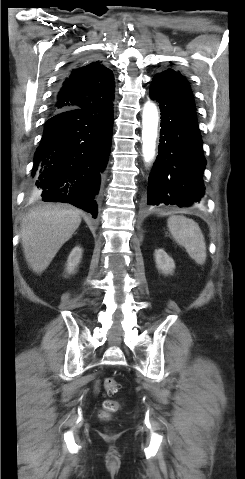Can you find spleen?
<instances>
[{"instance_id": "spleen-1", "label": "spleen", "mask_w": 245, "mask_h": 479, "mask_svg": "<svg viewBox=\"0 0 245 479\" xmlns=\"http://www.w3.org/2000/svg\"><path fill=\"white\" fill-rule=\"evenodd\" d=\"M167 226L173 238L182 245L191 259L203 265L206 261V245L199 225L192 219L182 215H172Z\"/></svg>"}]
</instances>
